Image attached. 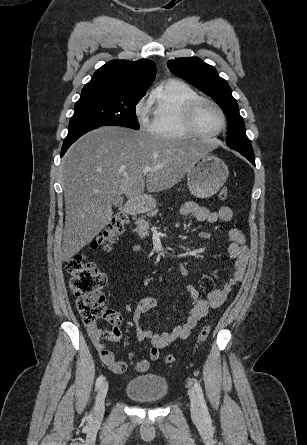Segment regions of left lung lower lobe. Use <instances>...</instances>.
Returning <instances> with one entry per match:
<instances>
[{
  "mask_svg": "<svg viewBox=\"0 0 307 445\" xmlns=\"http://www.w3.org/2000/svg\"><path fill=\"white\" fill-rule=\"evenodd\" d=\"M236 151L241 153L244 157H246L255 166V158H254L253 151L252 152L243 151V150H236Z\"/></svg>",
  "mask_w": 307,
  "mask_h": 445,
  "instance_id": "obj_1",
  "label": "left lung lower lobe"
}]
</instances>
